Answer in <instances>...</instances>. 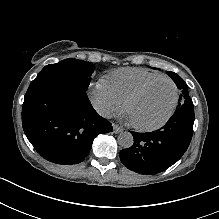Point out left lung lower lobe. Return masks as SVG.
<instances>
[{
  "label": "left lung lower lobe",
  "instance_id": "obj_1",
  "mask_svg": "<svg viewBox=\"0 0 219 219\" xmlns=\"http://www.w3.org/2000/svg\"><path fill=\"white\" fill-rule=\"evenodd\" d=\"M194 124V109L175 111L160 129L132 132L134 144L120 151L121 162L140 174H157L176 163L187 150Z\"/></svg>",
  "mask_w": 219,
  "mask_h": 219
}]
</instances>
